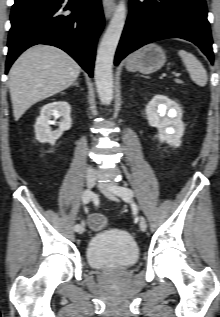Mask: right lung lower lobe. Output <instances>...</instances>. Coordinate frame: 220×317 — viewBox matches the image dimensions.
Instances as JSON below:
<instances>
[{
  "mask_svg": "<svg viewBox=\"0 0 220 317\" xmlns=\"http://www.w3.org/2000/svg\"><path fill=\"white\" fill-rule=\"evenodd\" d=\"M15 0L11 12L6 73L16 58L36 44L66 51L93 76L95 48L104 18L101 0ZM66 10L72 11L65 14Z\"/></svg>",
  "mask_w": 220,
  "mask_h": 317,
  "instance_id": "right-lung-lower-lobe-1",
  "label": "right lung lower lobe"
}]
</instances>
